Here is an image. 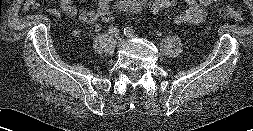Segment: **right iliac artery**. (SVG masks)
<instances>
[{"label": "right iliac artery", "instance_id": "1", "mask_svg": "<svg viewBox=\"0 0 253 131\" xmlns=\"http://www.w3.org/2000/svg\"><path fill=\"white\" fill-rule=\"evenodd\" d=\"M109 34L114 35V36H119L120 32L119 29L116 26H111L109 27Z\"/></svg>", "mask_w": 253, "mask_h": 131}]
</instances>
